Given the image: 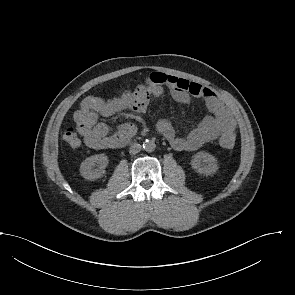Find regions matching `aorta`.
I'll use <instances>...</instances> for the list:
<instances>
[{
    "instance_id": "1",
    "label": "aorta",
    "mask_w": 295,
    "mask_h": 295,
    "mask_svg": "<svg viewBox=\"0 0 295 295\" xmlns=\"http://www.w3.org/2000/svg\"><path fill=\"white\" fill-rule=\"evenodd\" d=\"M143 148L146 152H152L156 148V144L152 140H146L143 143Z\"/></svg>"
}]
</instances>
